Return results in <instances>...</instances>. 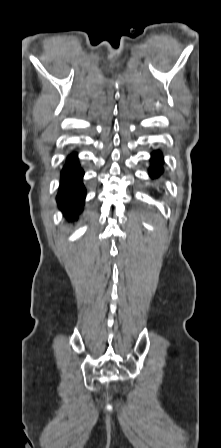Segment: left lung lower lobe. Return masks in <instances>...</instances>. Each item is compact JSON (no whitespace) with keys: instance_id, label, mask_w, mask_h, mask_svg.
Listing matches in <instances>:
<instances>
[{"instance_id":"left-lung-lower-lobe-1","label":"left lung lower lobe","mask_w":221,"mask_h":448,"mask_svg":"<svg viewBox=\"0 0 221 448\" xmlns=\"http://www.w3.org/2000/svg\"><path fill=\"white\" fill-rule=\"evenodd\" d=\"M162 163L163 158L161 153L154 152L152 154V163L149 169V175L151 176V178H156L162 174L163 172Z\"/></svg>"}]
</instances>
